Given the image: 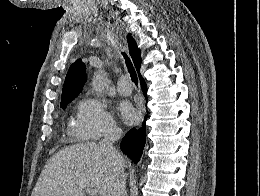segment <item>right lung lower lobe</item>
Segmentation results:
<instances>
[{
	"instance_id": "98d812e1",
	"label": "right lung lower lobe",
	"mask_w": 260,
	"mask_h": 196,
	"mask_svg": "<svg viewBox=\"0 0 260 196\" xmlns=\"http://www.w3.org/2000/svg\"><path fill=\"white\" fill-rule=\"evenodd\" d=\"M140 83L142 90L144 92L145 98L146 97V83L144 80L140 77ZM147 115L145 117V120L142 124V127L139 129L132 128L122 139L121 142V150L124 152L134 163H138L142 152L143 148L145 145V138H146V128H145V121H146Z\"/></svg>"
}]
</instances>
